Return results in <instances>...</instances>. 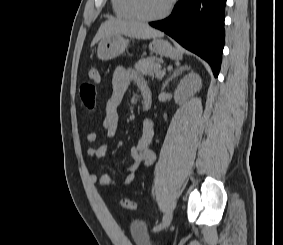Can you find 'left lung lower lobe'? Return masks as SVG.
Returning a JSON list of instances; mask_svg holds the SVG:
<instances>
[{
	"label": "left lung lower lobe",
	"instance_id": "1",
	"mask_svg": "<svg viewBox=\"0 0 283 245\" xmlns=\"http://www.w3.org/2000/svg\"><path fill=\"white\" fill-rule=\"evenodd\" d=\"M225 4L226 0H179L169 17L149 24L206 60L217 77L225 38Z\"/></svg>",
	"mask_w": 283,
	"mask_h": 245
}]
</instances>
